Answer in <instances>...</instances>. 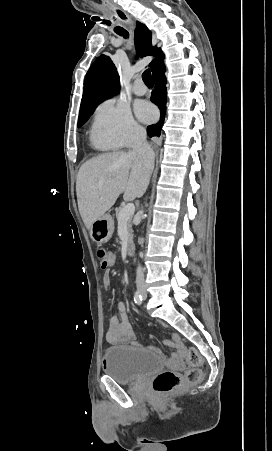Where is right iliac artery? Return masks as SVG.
Returning a JSON list of instances; mask_svg holds the SVG:
<instances>
[{
  "mask_svg": "<svg viewBox=\"0 0 272 451\" xmlns=\"http://www.w3.org/2000/svg\"><path fill=\"white\" fill-rule=\"evenodd\" d=\"M143 301L142 295L140 294L139 291H136L134 293V302L138 305H141Z\"/></svg>",
  "mask_w": 272,
  "mask_h": 451,
  "instance_id": "82829eb1",
  "label": "right iliac artery"
}]
</instances>
